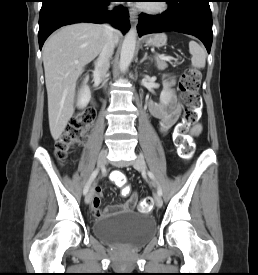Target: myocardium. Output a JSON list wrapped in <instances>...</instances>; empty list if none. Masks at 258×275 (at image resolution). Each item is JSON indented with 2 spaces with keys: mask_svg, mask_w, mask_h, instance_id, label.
<instances>
[{
  "mask_svg": "<svg viewBox=\"0 0 258 275\" xmlns=\"http://www.w3.org/2000/svg\"><path fill=\"white\" fill-rule=\"evenodd\" d=\"M152 2H156V3L142 5L140 7L141 10L150 14H161L165 12L168 8V3L166 0H157Z\"/></svg>",
  "mask_w": 258,
  "mask_h": 275,
  "instance_id": "f54148a6",
  "label": "myocardium"
}]
</instances>
